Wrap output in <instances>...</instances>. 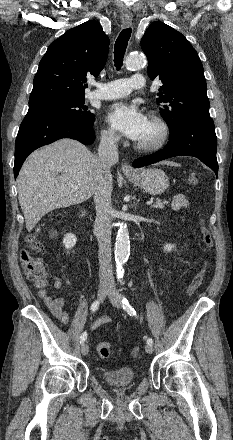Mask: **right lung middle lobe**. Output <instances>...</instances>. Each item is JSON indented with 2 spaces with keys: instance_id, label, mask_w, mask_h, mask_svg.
<instances>
[{
  "instance_id": "dd1d6c3e",
  "label": "right lung middle lobe",
  "mask_w": 233,
  "mask_h": 440,
  "mask_svg": "<svg viewBox=\"0 0 233 440\" xmlns=\"http://www.w3.org/2000/svg\"><path fill=\"white\" fill-rule=\"evenodd\" d=\"M85 98H57L29 104L28 113H49L76 120L85 126L93 127L94 114L84 106Z\"/></svg>"
}]
</instances>
